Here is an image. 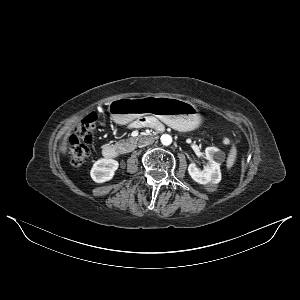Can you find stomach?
<instances>
[{"instance_id": "stomach-1", "label": "stomach", "mask_w": 300, "mask_h": 300, "mask_svg": "<svg viewBox=\"0 0 300 300\" xmlns=\"http://www.w3.org/2000/svg\"><path fill=\"white\" fill-rule=\"evenodd\" d=\"M111 118L118 124H127L144 115H154L165 124L181 131L199 127L202 117L192 103L169 96L121 98L109 104Z\"/></svg>"}]
</instances>
